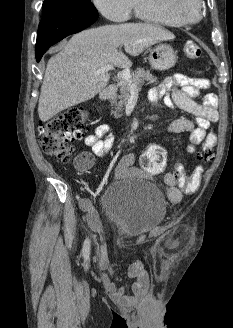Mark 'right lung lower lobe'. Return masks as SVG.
Here are the masks:
<instances>
[{"label":"right lung lower lobe","mask_w":233,"mask_h":328,"mask_svg":"<svg viewBox=\"0 0 233 328\" xmlns=\"http://www.w3.org/2000/svg\"><path fill=\"white\" fill-rule=\"evenodd\" d=\"M98 12L64 8H45L38 27L36 60L40 61L50 46L68 35L77 33L93 24Z\"/></svg>","instance_id":"right-lung-lower-lobe-1"}]
</instances>
